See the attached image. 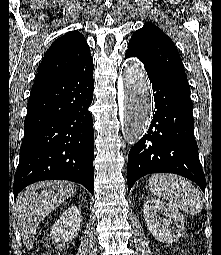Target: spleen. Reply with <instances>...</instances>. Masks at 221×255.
Returning <instances> with one entry per match:
<instances>
[{
	"label": "spleen",
	"instance_id": "3e777b00",
	"mask_svg": "<svg viewBox=\"0 0 221 255\" xmlns=\"http://www.w3.org/2000/svg\"><path fill=\"white\" fill-rule=\"evenodd\" d=\"M149 188L155 196L173 203L187 214H198L203 208L200 191L181 176L153 174L149 179Z\"/></svg>",
	"mask_w": 221,
	"mask_h": 255
}]
</instances>
